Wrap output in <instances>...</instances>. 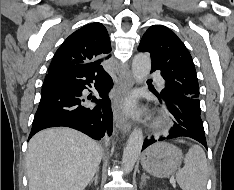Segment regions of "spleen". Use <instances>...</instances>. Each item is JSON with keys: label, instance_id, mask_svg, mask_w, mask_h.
Returning a JSON list of instances; mask_svg holds the SVG:
<instances>
[{"label": "spleen", "instance_id": "spleen-1", "mask_svg": "<svg viewBox=\"0 0 234 190\" xmlns=\"http://www.w3.org/2000/svg\"><path fill=\"white\" fill-rule=\"evenodd\" d=\"M176 180L182 190H206L208 166L205 152L200 146L191 145L184 158V167L176 173Z\"/></svg>", "mask_w": 234, "mask_h": 190}]
</instances>
